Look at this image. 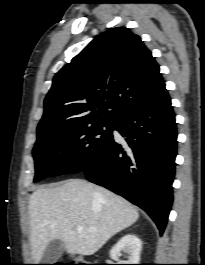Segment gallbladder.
<instances>
[{
  "instance_id": "bac80fb5",
  "label": "gallbladder",
  "mask_w": 205,
  "mask_h": 265,
  "mask_svg": "<svg viewBox=\"0 0 205 265\" xmlns=\"http://www.w3.org/2000/svg\"><path fill=\"white\" fill-rule=\"evenodd\" d=\"M64 251V243L61 240L54 239L45 248L41 261L43 264H53L62 256Z\"/></svg>"
}]
</instances>
